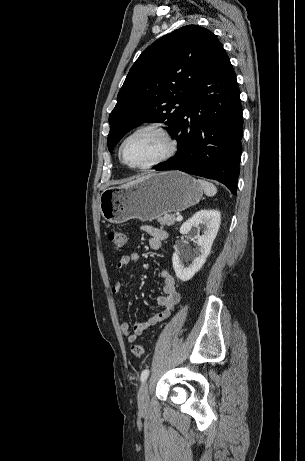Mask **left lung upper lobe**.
<instances>
[{"label": "left lung upper lobe", "instance_id": "5c2ea615", "mask_svg": "<svg viewBox=\"0 0 305 461\" xmlns=\"http://www.w3.org/2000/svg\"><path fill=\"white\" fill-rule=\"evenodd\" d=\"M222 45L208 29L187 25L156 40L131 67L109 116L108 149L138 124L160 122L172 135L189 94L217 61Z\"/></svg>", "mask_w": 305, "mask_h": 461}]
</instances>
